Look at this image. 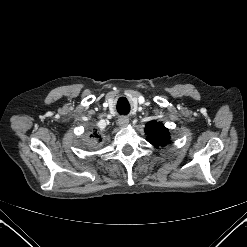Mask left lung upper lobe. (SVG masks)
Listing matches in <instances>:
<instances>
[{"mask_svg": "<svg viewBox=\"0 0 247 247\" xmlns=\"http://www.w3.org/2000/svg\"><path fill=\"white\" fill-rule=\"evenodd\" d=\"M145 133L147 134V140L157 148L164 147L170 143L168 129L155 120L146 124Z\"/></svg>", "mask_w": 247, "mask_h": 247, "instance_id": "5c2ea615", "label": "left lung upper lobe"}]
</instances>
